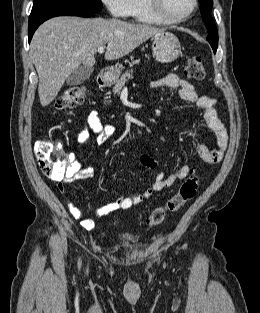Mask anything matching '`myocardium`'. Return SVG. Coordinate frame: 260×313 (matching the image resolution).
I'll return each instance as SVG.
<instances>
[{"instance_id":"f54148a6","label":"myocardium","mask_w":260,"mask_h":313,"mask_svg":"<svg viewBox=\"0 0 260 313\" xmlns=\"http://www.w3.org/2000/svg\"><path fill=\"white\" fill-rule=\"evenodd\" d=\"M145 2L153 17L163 24H178L187 20L197 11L199 5L198 0H192V8L188 12L179 17H168L162 12L161 0H145Z\"/></svg>"}]
</instances>
